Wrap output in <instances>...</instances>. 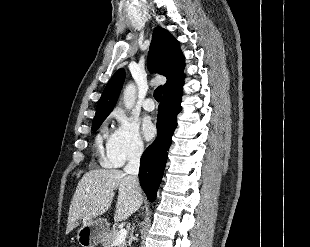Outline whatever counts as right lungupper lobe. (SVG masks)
Returning a JSON list of instances; mask_svg holds the SVG:
<instances>
[{
	"label": "right lung upper lobe",
	"instance_id": "obj_1",
	"mask_svg": "<svg viewBox=\"0 0 310 247\" xmlns=\"http://www.w3.org/2000/svg\"><path fill=\"white\" fill-rule=\"evenodd\" d=\"M148 70L167 78L164 93L183 85L184 56L178 41L165 29L156 27L148 54ZM125 73L119 69L107 83L96 107L94 121L107 117L113 110L121 91Z\"/></svg>",
	"mask_w": 310,
	"mask_h": 247
}]
</instances>
